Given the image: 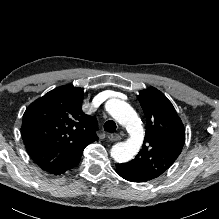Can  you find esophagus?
<instances>
[{
    "mask_svg": "<svg viewBox=\"0 0 219 219\" xmlns=\"http://www.w3.org/2000/svg\"><path fill=\"white\" fill-rule=\"evenodd\" d=\"M121 139V137H120V135H118V134H111L110 136H109V140L110 141H119Z\"/></svg>",
    "mask_w": 219,
    "mask_h": 219,
    "instance_id": "esophagus-1",
    "label": "esophagus"
}]
</instances>
